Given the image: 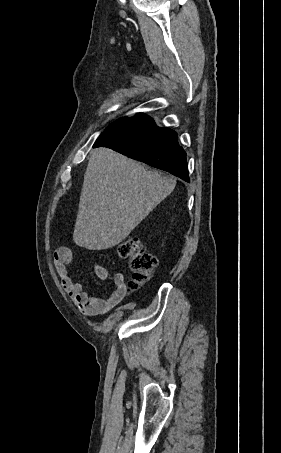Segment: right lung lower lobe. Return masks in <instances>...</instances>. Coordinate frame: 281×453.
<instances>
[{
	"label": "right lung lower lobe",
	"mask_w": 281,
	"mask_h": 453,
	"mask_svg": "<svg viewBox=\"0 0 281 453\" xmlns=\"http://www.w3.org/2000/svg\"><path fill=\"white\" fill-rule=\"evenodd\" d=\"M108 147L132 159L168 171L189 182L186 153L173 130L158 127L142 113L123 117L98 137L93 147Z\"/></svg>",
	"instance_id": "98d812e1"
}]
</instances>
